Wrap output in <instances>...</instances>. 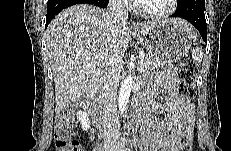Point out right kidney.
Returning <instances> with one entry per match:
<instances>
[{
    "mask_svg": "<svg viewBox=\"0 0 231 151\" xmlns=\"http://www.w3.org/2000/svg\"><path fill=\"white\" fill-rule=\"evenodd\" d=\"M77 118L81 124L82 129L84 131H88V129H90V119L88 113L86 111H78Z\"/></svg>",
    "mask_w": 231,
    "mask_h": 151,
    "instance_id": "obj_1",
    "label": "right kidney"
}]
</instances>
